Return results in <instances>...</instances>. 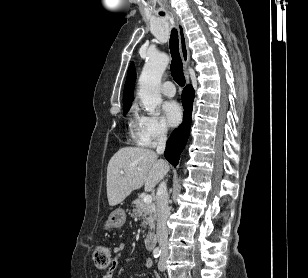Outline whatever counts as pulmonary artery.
Here are the masks:
<instances>
[{
    "instance_id": "1",
    "label": "pulmonary artery",
    "mask_w": 308,
    "mask_h": 278,
    "mask_svg": "<svg viewBox=\"0 0 308 278\" xmlns=\"http://www.w3.org/2000/svg\"><path fill=\"white\" fill-rule=\"evenodd\" d=\"M162 93L167 97H173L175 95V86L172 82L167 81L161 87Z\"/></svg>"
}]
</instances>
